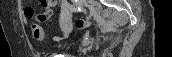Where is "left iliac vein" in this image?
I'll return each mask as SVG.
<instances>
[{"label":"left iliac vein","mask_w":172,"mask_h":57,"mask_svg":"<svg viewBox=\"0 0 172 57\" xmlns=\"http://www.w3.org/2000/svg\"><path fill=\"white\" fill-rule=\"evenodd\" d=\"M63 11H64V12H68V8L63 9ZM69 18H70V16L67 15V16H66V19L69 20Z\"/></svg>","instance_id":"obj_1"}]
</instances>
